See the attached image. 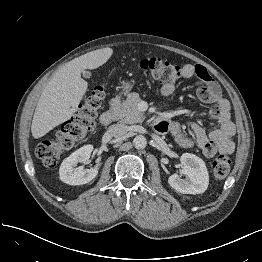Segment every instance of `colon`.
<instances>
[{
	"label": "colon",
	"mask_w": 262,
	"mask_h": 262,
	"mask_svg": "<svg viewBox=\"0 0 262 262\" xmlns=\"http://www.w3.org/2000/svg\"><path fill=\"white\" fill-rule=\"evenodd\" d=\"M139 69L146 78L160 85L175 83L183 74L179 66L155 57L143 59ZM103 96L101 88L94 89L84 99L77 114L62 126L57 138L43 140L37 145L36 153L45 165H55L78 141L93 131ZM230 166V155L226 152L220 153L213 162L215 178L224 179L229 173Z\"/></svg>",
	"instance_id": "colon-1"
}]
</instances>
